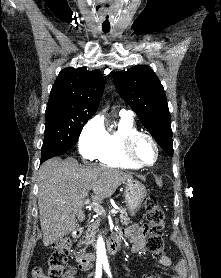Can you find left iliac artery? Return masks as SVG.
<instances>
[{"label":"left iliac artery","instance_id":"left-iliac-artery-1","mask_svg":"<svg viewBox=\"0 0 221 278\" xmlns=\"http://www.w3.org/2000/svg\"><path fill=\"white\" fill-rule=\"evenodd\" d=\"M103 266H104V270L106 271V273L111 277V272H110V269H109L108 262H104Z\"/></svg>","mask_w":221,"mask_h":278}]
</instances>
